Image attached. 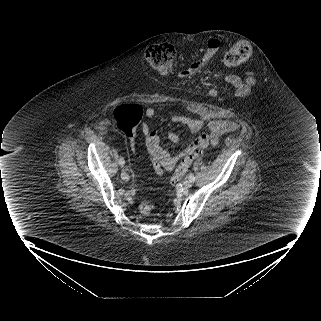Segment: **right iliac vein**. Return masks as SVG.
I'll list each match as a JSON object with an SVG mask.
<instances>
[{
  "label": "right iliac vein",
  "instance_id": "right-iliac-vein-1",
  "mask_svg": "<svg viewBox=\"0 0 321 321\" xmlns=\"http://www.w3.org/2000/svg\"><path fill=\"white\" fill-rule=\"evenodd\" d=\"M121 178H122L124 181H128V180H129V175H128L125 171H122V173H121Z\"/></svg>",
  "mask_w": 321,
  "mask_h": 321
}]
</instances>
